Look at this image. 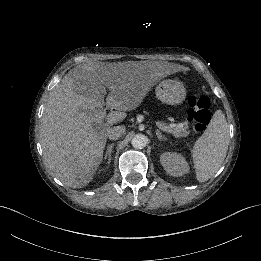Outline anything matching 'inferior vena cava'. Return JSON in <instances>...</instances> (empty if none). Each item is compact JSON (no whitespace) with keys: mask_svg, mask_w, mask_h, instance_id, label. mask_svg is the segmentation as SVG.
Wrapping results in <instances>:
<instances>
[{"mask_svg":"<svg viewBox=\"0 0 261 261\" xmlns=\"http://www.w3.org/2000/svg\"><path fill=\"white\" fill-rule=\"evenodd\" d=\"M126 131V128L124 126H117L113 127L108 132V139L110 140H117L119 139Z\"/></svg>","mask_w":261,"mask_h":261,"instance_id":"obj_1","label":"inferior vena cava"}]
</instances>
